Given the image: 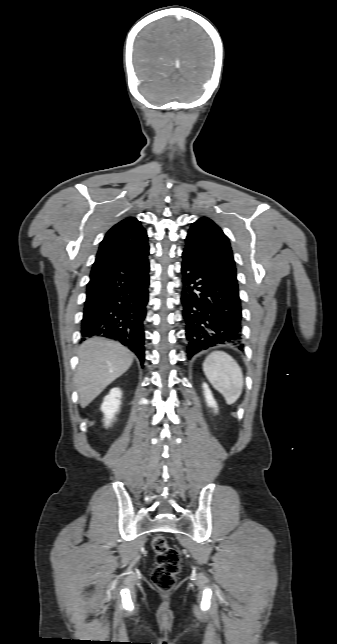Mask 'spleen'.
Returning a JSON list of instances; mask_svg holds the SVG:
<instances>
[{
	"mask_svg": "<svg viewBox=\"0 0 337 644\" xmlns=\"http://www.w3.org/2000/svg\"><path fill=\"white\" fill-rule=\"evenodd\" d=\"M203 371L212 386L223 395L227 404L237 401L243 390V373L238 363L223 351L210 353Z\"/></svg>",
	"mask_w": 337,
	"mask_h": 644,
	"instance_id": "spleen-1",
	"label": "spleen"
}]
</instances>
